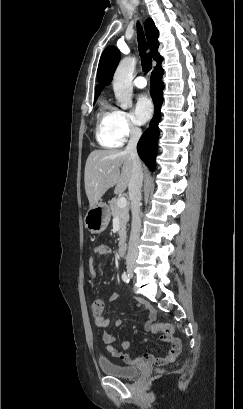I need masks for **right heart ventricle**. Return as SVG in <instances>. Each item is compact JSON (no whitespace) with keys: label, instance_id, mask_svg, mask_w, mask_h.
<instances>
[{"label":"right heart ventricle","instance_id":"1","mask_svg":"<svg viewBox=\"0 0 243 409\" xmlns=\"http://www.w3.org/2000/svg\"><path fill=\"white\" fill-rule=\"evenodd\" d=\"M115 112L116 109L107 100L101 101L97 113L96 138L106 148H118L122 144L113 129Z\"/></svg>","mask_w":243,"mask_h":409}]
</instances>
